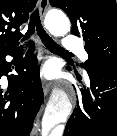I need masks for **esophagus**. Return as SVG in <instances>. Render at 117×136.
Returning a JSON list of instances; mask_svg holds the SVG:
<instances>
[{
    "label": "esophagus",
    "mask_w": 117,
    "mask_h": 136,
    "mask_svg": "<svg viewBox=\"0 0 117 136\" xmlns=\"http://www.w3.org/2000/svg\"><path fill=\"white\" fill-rule=\"evenodd\" d=\"M47 7H48V0H39V13H40V18L42 20L45 17ZM42 87H43L44 94L46 96L51 88V83L46 80H43Z\"/></svg>",
    "instance_id": "obj_1"
}]
</instances>
